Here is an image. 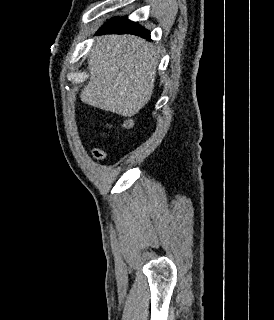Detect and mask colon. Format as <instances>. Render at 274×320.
I'll use <instances>...</instances> for the list:
<instances>
[{
    "mask_svg": "<svg viewBox=\"0 0 274 320\" xmlns=\"http://www.w3.org/2000/svg\"><path fill=\"white\" fill-rule=\"evenodd\" d=\"M126 126H127V127H131V126H132V124H131V123H128Z\"/></svg>",
    "mask_w": 274,
    "mask_h": 320,
    "instance_id": "1",
    "label": "colon"
}]
</instances>
